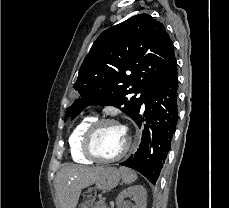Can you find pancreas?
I'll list each match as a JSON object with an SVG mask.
<instances>
[{"instance_id":"cf45deb5","label":"pancreas","mask_w":229,"mask_h":208,"mask_svg":"<svg viewBox=\"0 0 229 208\" xmlns=\"http://www.w3.org/2000/svg\"><path fill=\"white\" fill-rule=\"evenodd\" d=\"M93 208H107L104 198H102V200H99V202H95Z\"/></svg>"}]
</instances>
